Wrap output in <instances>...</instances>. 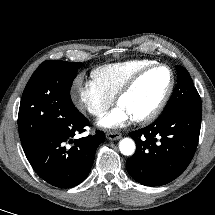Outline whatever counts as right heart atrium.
I'll list each match as a JSON object with an SVG mask.
<instances>
[{
    "instance_id": "right-heart-atrium-1",
    "label": "right heart atrium",
    "mask_w": 215,
    "mask_h": 215,
    "mask_svg": "<svg viewBox=\"0 0 215 215\" xmlns=\"http://www.w3.org/2000/svg\"><path fill=\"white\" fill-rule=\"evenodd\" d=\"M70 96L79 111L94 117L103 115L114 101V97L106 94L93 80H84L82 77L75 79Z\"/></svg>"
}]
</instances>
